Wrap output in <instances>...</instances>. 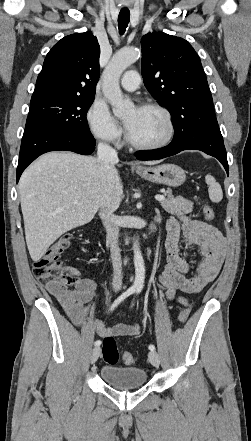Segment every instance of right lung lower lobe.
<instances>
[{"label": "right lung lower lobe", "instance_id": "obj_1", "mask_svg": "<svg viewBox=\"0 0 251 441\" xmlns=\"http://www.w3.org/2000/svg\"><path fill=\"white\" fill-rule=\"evenodd\" d=\"M95 145L96 141L91 134L76 135L41 122L27 121L21 142L16 180L19 181L22 172L32 161L46 152L66 150L89 155L94 151Z\"/></svg>", "mask_w": 251, "mask_h": 441}]
</instances>
